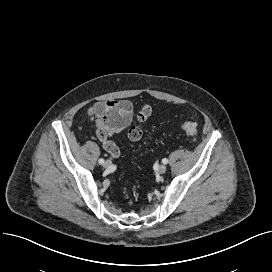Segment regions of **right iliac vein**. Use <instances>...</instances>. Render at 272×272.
Returning a JSON list of instances; mask_svg holds the SVG:
<instances>
[{
  "label": "right iliac vein",
  "instance_id": "1",
  "mask_svg": "<svg viewBox=\"0 0 272 272\" xmlns=\"http://www.w3.org/2000/svg\"><path fill=\"white\" fill-rule=\"evenodd\" d=\"M104 168H109L111 166V161L107 160L103 164Z\"/></svg>",
  "mask_w": 272,
  "mask_h": 272
}]
</instances>
